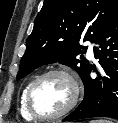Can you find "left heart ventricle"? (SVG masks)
Wrapping results in <instances>:
<instances>
[{"label": "left heart ventricle", "instance_id": "left-heart-ventricle-1", "mask_svg": "<svg viewBox=\"0 0 118 123\" xmlns=\"http://www.w3.org/2000/svg\"><path fill=\"white\" fill-rule=\"evenodd\" d=\"M72 96L69 81L61 75H53L43 80L35 89L33 105L35 110L45 116L63 110Z\"/></svg>", "mask_w": 118, "mask_h": 123}]
</instances>
